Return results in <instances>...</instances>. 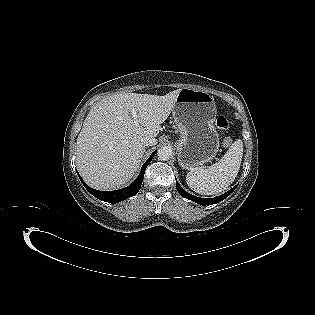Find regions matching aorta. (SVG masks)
Returning a JSON list of instances; mask_svg holds the SVG:
<instances>
[{
  "label": "aorta",
  "instance_id": "aorta-1",
  "mask_svg": "<svg viewBox=\"0 0 315 315\" xmlns=\"http://www.w3.org/2000/svg\"><path fill=\"white\" fill-rule=\"evenodd\" d=\"M173 154L172 148L170 146H164L158 149V158L162 161H167L171 158Z\"/></svg>",
  "mask_w": 315,
  "mask_h": 315
}]
</instances>
